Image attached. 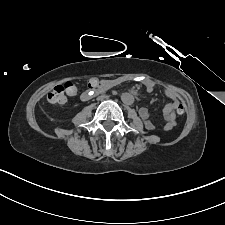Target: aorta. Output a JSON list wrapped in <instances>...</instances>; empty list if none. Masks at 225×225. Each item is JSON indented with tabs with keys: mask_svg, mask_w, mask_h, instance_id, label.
Returning <instances> with one entry per match:
<instances>
[{
	"mask_svg": "<svg viewBox=\"0 0 225 225\" xmlns=\"http://www.w3.org/2000/svg\"><path fill=\"white\" fill-rule=\"evenodd\" d=\"M121 100L124 104L130 105L134 102V96L130 93H124L121 96Z\"/></svg>",
	"mask_w": 225,
	"mask_h": 225,
	"instance_id": "1",
	"label": "aorta"
}]
</instances>
